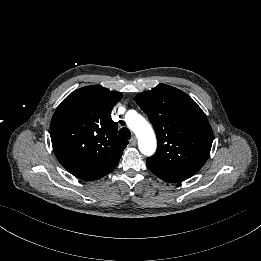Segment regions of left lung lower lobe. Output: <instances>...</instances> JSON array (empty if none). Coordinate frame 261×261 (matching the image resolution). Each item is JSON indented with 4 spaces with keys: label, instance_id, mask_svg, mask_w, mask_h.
I'll return each instance as SVG.
<instances>
[{
    "label": "left lung lower lobe",
    "instance_id": "left-lung-lower-lobe-1",
    "mask_svg": "<svg viewBox=\"0 0 261 261\" xmlns=\"http://www.w3.org/2000/svg\"><path fill=\"white\" fill-rule=\"evenodd\" d=\"M146 163L149 170L152 173H154L157 177H159L163 181L170 182V183H177L186 180L195 174V173H189L186 171L167 167L163 164L152 161L148 158L146 160Z\"/></svg>",
    "mask_w": 261,
    "mask_h": 261
}]
</instances>
